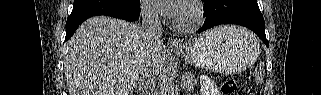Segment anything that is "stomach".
Returning a JSON list of instances; mask_svg holds the SVG:
<instances>
[{
	"label": "stomach",
	"instance_id": "1",
	"mask_svg": "<svg viewBox=\"0 0 321 95\" xmlns=\"http://www.w3.org/2000/svg\"><path fill=\"white\" fill-rule=\"evenodd\" d=\"M212 29L184 48L173 49L189 64L224 74H235L251 65L259 55L256 37L245 29Z\"/></svg>",
	"mask_w": 321,
	"mask_h": 95
}]
</instances>
